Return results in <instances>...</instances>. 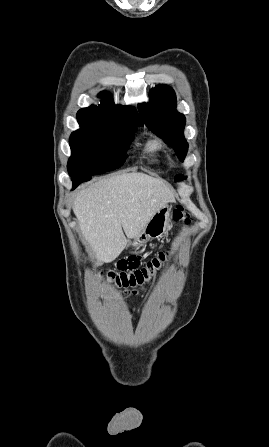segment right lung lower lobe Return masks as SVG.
Segmentation results:
<instances>
[{"label": "right lung lower lobe", "mask_w": 269, "mask_h": 447, "mask_svg": "<svg viewBox=\"0 0 269 447\" xmlns=\"http://www.w3.org/2000/svg\"><path fill=\"white\" fill-rule=\"evenodd\" d=\"M72 177V176H71ZM91 179V176L89 177ZM73 181V189L76 188L81 182H83V178H74L72 177Z\"/></svg>", "instance_id": "obj_1"}]
</instances>
